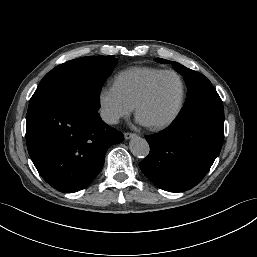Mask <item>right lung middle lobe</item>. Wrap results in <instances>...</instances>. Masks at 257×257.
<instances>
[{"label": "right lung middle lobe", "instance_id": "dd1d6c3e", "mask_svg": "<svg viewBox=\"0 0 257 257\" xmlns=\"http://www.w3.org/2000/svg\"><path fill=\"white\" fill-rule=\"evenodd\" d=\"M116 65L113 56H88L67 61L47 73L30 99L71 94L99 108V94Z\"/></svg>", "mask_w": 257, "mask_h": 257}]
</instances>
